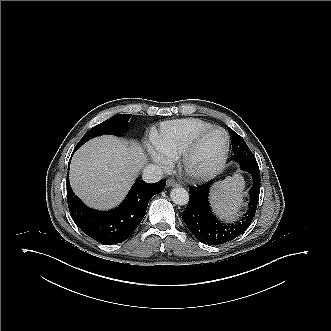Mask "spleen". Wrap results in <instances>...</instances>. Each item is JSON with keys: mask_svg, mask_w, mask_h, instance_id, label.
Returning a JSON list of instances; mask_svg holds the SVG:
<instances>
[{"mask_svg": "<svg viewBox=\"0 0 331 331\" xmlns=\"http://www.w3.org/2000/svg\"><path fill=\"white\" fill-rule=\"evenodd\" d=\"M244 188L245 181L239 174L227 177L213 186L210 193L211 204L222 219L234 221L238 217V212L244 205Z\"/></svg>", "mask_w": 331, "mask_h": 331, "instance_id": "obj_1", "label": "spleen"}]
</instances>
